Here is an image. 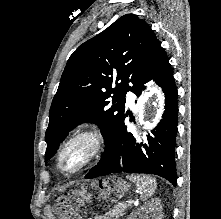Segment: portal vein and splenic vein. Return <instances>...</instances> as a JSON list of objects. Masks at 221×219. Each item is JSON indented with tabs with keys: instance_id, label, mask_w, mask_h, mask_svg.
<instances>
[{
	"instance_id": "obj_1",
	"label": "portal vein and splenic vein",
	"mask_w": 221,
	"mask_h": 219,
	"mask_svg": "<svg viewBox=\"0 0 221 219\" xmlns=\"http://www.w3.org/2000/svg\"><path fill=\"white\" fill-rule=\"evenodd\" d=\"M128 204H133V201L132 200H130V201H128ZM121 206H124V204H120Z\"/></svg>"
}]
</instances>
